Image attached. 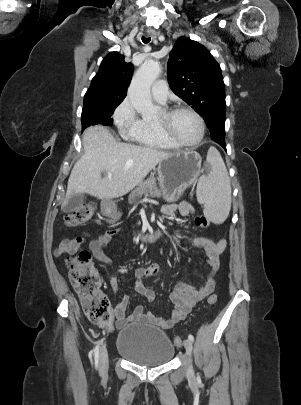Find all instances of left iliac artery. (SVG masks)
Wrapping results in <instances>:
<instances>
[{
	"instance_id": "1",
	"label": "left iliac artery",
	"mask_w": 301,
	"mask_h": 405,
	"mask_svg": "<svg viewBox=\"0 0 301 405\" xmlns=\"http://www.w3.org/2000/svg\"><path fill=\"white\" fill-rule=\"evenodd\" d=\"M188 339H189L191 342H193V341H194L193 335L190 334V335L188 336Z\"/></svg>"
}]
</instances>
